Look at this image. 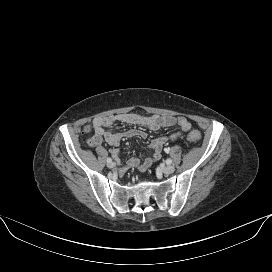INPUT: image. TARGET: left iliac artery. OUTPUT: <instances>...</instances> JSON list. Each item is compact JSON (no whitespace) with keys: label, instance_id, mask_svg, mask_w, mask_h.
Segmentation results:
<instances>
[{"label":"left iliac artery","instance_id":"1","mask_svg":"<svg viewBox=\"0 0 272 272\" xmlns=\"http://www.w3.org/2000/svg\"><path fill=\"white\" fill-rule=\"evenodd\" d=\"M169 151H170L169 148H165V152H166V153H169ZM171 163H172V160H171V159H167V160H166V164H167V165H170Z\"/></svg>","mask_w":272,"mask_h":272}]
</instances>
